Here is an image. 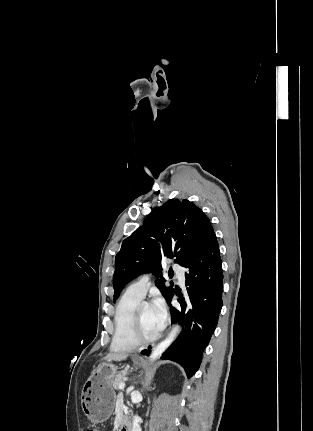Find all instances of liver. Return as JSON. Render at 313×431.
<instances>
[{
  "mask_svg": "<svg viewBox=\"0 0 313 431\" xmlns=\"http://www.w3.org/2000/svg\"><path fill=\"white\" fill-rule=\"evenodd\" d=\"M127 357H128L127 353H109L103 358V360H105V361H122V360H126Z\"/></svg>",
  "mask_w": 313,
  "mask_h": 431,
  "instance_id": "1",
  "label": "liver"
}]
</instances>
